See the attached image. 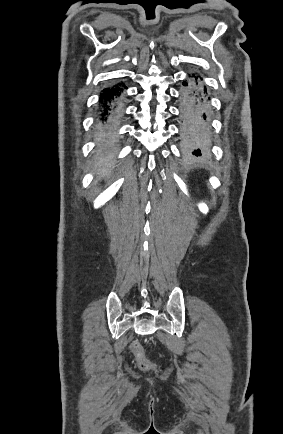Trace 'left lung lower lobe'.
Wrapping results in <instances>:
<instances>
[{
  "mask_svg": "<svg viewBox=\"0 0 283 434\" xmlns=\"http://www.w3.org/2000/svg\"><path fill=\"white\" fill-rule=\"evenodd\" d=\"M181 139L186 147L201 155L210 144V97L197 77L183 81L179 96Z\"/></svg>",
  "mask_w": 283,
  "mask_h": 434,
  "instance_id": "left-lung-lower-lobe-1",
  "label": "left lung lower lobe"
}]
</instances>
